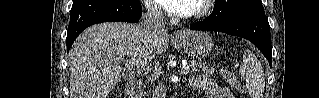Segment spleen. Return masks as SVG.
Returning <instances> with one entry per match:
<instances>
[{"label":"spleen","instance_id":"spleen-1","mask_svg":"<svg viewBox=\"0 0 319 98\" xmlns=\"http://www.w3.org/2000/svg\"><path fill=\"white\" fill-rule=\"evenodd\" d=\"M241 76L245 80L251 98H263L265 77L261 62L250 51L243 54Z\"/></svg>","mask_w":319,"mask_h":98}]
</instances>
